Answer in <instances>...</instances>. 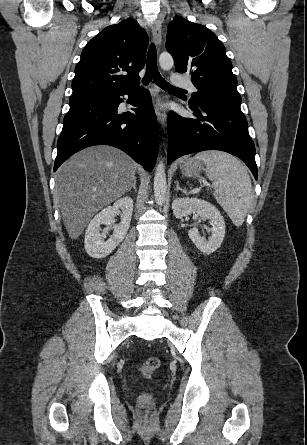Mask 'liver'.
I'll return each instance as SVG.
<instances>
[{
    "label": "liver",
    "mask_w": 307,
    "mask_h": 445,
    "mask_svg": "<svg viewBox=\"0 0 307 445\" xmlns=\"http://www.w3.org/2000/svg\"><path fill=\"white\" fill-rule=\"evenodd\" d=\"M136 162L114 146H89L56 172L55 198L70 239H78L92 216L131 186Z\"/></svg>",
    "instance_id": "6515ba94"
}]
</instances>
